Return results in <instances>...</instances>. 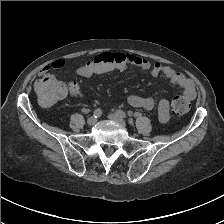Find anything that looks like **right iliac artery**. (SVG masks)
I'll use <instances>...</instances> for the list:
<instances>
[{"label": "right iliac artery", "mask_w": 224, "mask_h": 224, "mask_svg": "<svg viewBox=\"0 0 224 224\" xmlns=\"http://www.w3.org/2000/svg\"><path fill=\"white\" fill-rule=\"evenodd\" d=\"M101 115H102V110L100 108H97V109L94 110L93 116L95 118H99Z\"/></svg>", "instance_id": "obj_1"}]
</instances>
